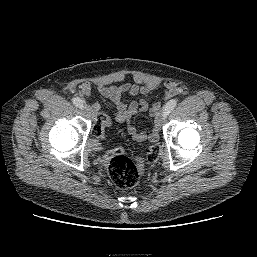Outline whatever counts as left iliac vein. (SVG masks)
Returning a JSON list of instances; mask_svg holds the SVG:
<instances>
[{
	"mask_svg": "<svg viewBox=\"0 0 257 257\" xmlns=\"http://www.w3.org/2000/svg\"><path fill=\"white\" fill-rule=\"evenodd\" d=\"M167 118V113L163 111L161 114L158 115L157 117V122L159 125H161Z\"/></svg>",
	"mask_w": 257,
	"mask_h": 257,
	"instance_id": "4c4485c4",
	"label": "left iliac vein"
}]
</instances>
